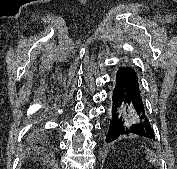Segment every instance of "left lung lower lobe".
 Listing matches in <instances>:
<instances>
[{"label":"left lung lower lobe","mask_w":177,"mask_h":169,"mask_svg":"<svg viewBox=\"0 0 177 169\" xmlns=\"http://www.w3.org/2000/svg\"><path fill=\"white\" fill-rule=\"evenodd\" d=\"M112 100V119L106 136L107 143L131 133L154 139V132L142 101L138 70L133 63L123 62L118 66ZM133 114L138 116V121L128 127L126 119Z\"/></svg>","instance_id":"obj_1"}]
</instances>
